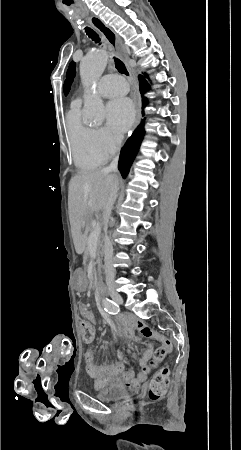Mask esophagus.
<instances>
[{"instance_id": "esophagus-1", "label": "esophagus", "mask_w": 241, "mask_h": 450, "mask_svg": "<svg viewBox=\"0 0 241 450\" xmlns=\"http://www.w3.org/2000/svg\"><path fill=\"white\" fill-rule=\"evenodd\" d=\"M89 22L91 23V25H93V27L96 28V30H98V32L101 33L103 39L108 44V47L117 55L119 53H122L123 59L126 61L127 55L123 50L120 49L119 37L114 32V30H112V28H110L106 23L103 22V20H101V18L97 17L96 15L91 16L89 18ZM133 102L136 112V120L134 122L132 130H135L141 120V101L137 88L133 89Z\"/></svg>"}]
</instances>
